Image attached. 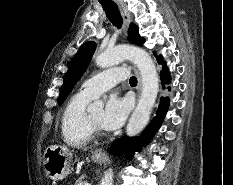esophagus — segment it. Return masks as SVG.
<instances>
[{
	"label": "esophagus",
	"instance_id": "1",
	"mask_svg": "<svg viewBox=\"0 0 233 185\" xmlns=\"http://www.w3.org/2000/svg\"><path fill=\"white\" fill-rule=\"evenodd\" d=\"M118 6H119L121 16L124 20V23H125L126 27H128L132 21L131 15H130L127 7L123 3H119ZM134 71H135L137 79H138L137 92H138V96H140V93L142 90V79H141L140 72L138 71V69L136 67H134ZM96 154L105 155V151L102 149H98V150H96Z\"/></svg>",
	"mask_w": 233,
	"mask_h": 185
}]
</instances>
